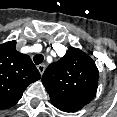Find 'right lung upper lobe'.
<instances>
[{"label":"right lung upper lobe","mask_w":117,"mask_h":117,"mask_svg":"<svg viewBox=\"0 0 117 117\" xmlns=\"http://www.w3.org/2000/svg\"><path fill=\"white\" fill-rule=\"evenodd\" d=\"M40 77L30 57L16 50V41L0 45V109L14 106L27 86Z\"/></svg>","instance_id":"right-lung-upper-lobe-1"}]
</instances>
